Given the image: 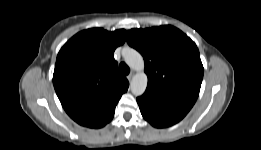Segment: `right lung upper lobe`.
<instances>
[{
	"label": "right lung upper lobe",
	"instance_id": "cb5924a9",
	"mask_svg": "<svg viewBox=\"0 0 261 150\" xmlns=\"http://www.w3.org/2000/svg\"><path fill=\"white\" fill-rule=\"evenodd\" d=\"M124 29H87L73 36L57 55L53 84L67 114L78 124L95 128L115 112L129 82L113 57L125 42Z\"/></svg>",
	"mask_w": 261,
	"mask_h": 150
}]
</instances>
